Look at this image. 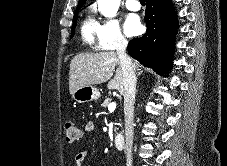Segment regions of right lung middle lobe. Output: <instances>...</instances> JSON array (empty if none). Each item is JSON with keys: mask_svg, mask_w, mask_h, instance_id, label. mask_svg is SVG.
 Returning <instances> with one entry per match:
<instances>
[{"mask_svg": "<svg viewBox=\"0 0 227 166\" xmlns=\"http://www.w3.org/2000/svg\"><path fill=\"white\" fill-rule=\"evenodd\" d=\"M81 7H77L76 9V13L74 15V18H73V26H72V30H71V38L73 37L74 35V29H75V26H76V21H77V11L80 9Z\"/></svg>", "mask_w": 227, "mask_h": 166, "instance_id": "1", "label": "right lung middle lobe"}]
</instances>
